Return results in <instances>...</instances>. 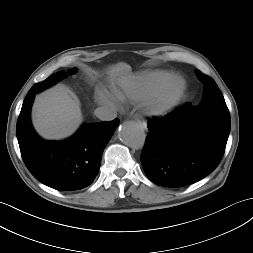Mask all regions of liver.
<instances>
[{"instance_id": "liver-1", "label": "liver", "mask_w": 253, "mask_h": 253, "mask_svg": "<svg viewBox=\"0 0 253 253\" xmlns=\"http://www.w3.org/2000/svg\"><path fill=\"white\" fill-rule=\"evenodd\" d=\"M130 71L126 63H119L109 70L112 77ZM32 122L36 131L45 139L58 140L73 134L82 122L80 105L71 91L57 85L35 99Z\"/></svg>"}]
</instances>
